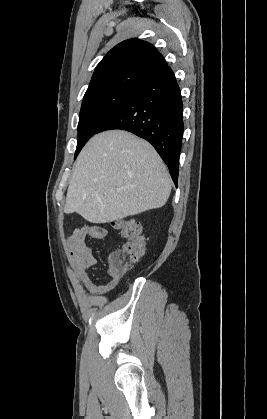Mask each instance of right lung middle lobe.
<instances>
[{
	"label": "right lung middle lobe",
	"instance_id": "obj_1",
	"mask_svg": "<svg viewBox=\"0 0 267 419\" xmlns=\"http://www.w3.org/2000/svg\"><path fill=\"white\" fill-rule=\"evenodd\" d=\"M137 88L109 90L84 97L78 123L75 158L101 124L117 110Z\"/></svg>",
	"mask_w": 267,
	"mask_h": 419
}]
</instances>
